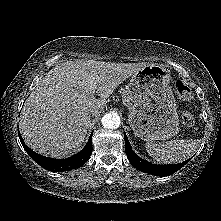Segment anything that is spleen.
<instances>
[{
	"mask_svg": "<svg viewBox=\"0 0 221 221\" xmlns=\"http://www.w3.org/2000/svg\"><path fill=\"white\" fill-rule=\"evenodd\" d=\"M199 139L171 140L146 143L147 152L158 162L180 163L191 157L200 147Z\"/></svg>",
	"mask_w": 221,
	"mask_h": 221,
	"instance_id": "1",
	"label": "spleen"
}]
</instances>
